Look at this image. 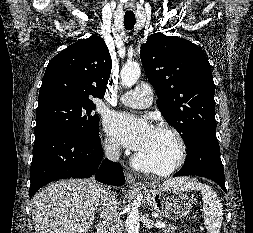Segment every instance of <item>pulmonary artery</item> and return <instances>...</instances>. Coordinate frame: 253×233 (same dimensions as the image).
<instances>
[{"label": "pulmonary artery", "instance_id": "pulmonary-artery-1", "mask_svg": "<svg viewBox=\"0 0 253 233\" xmlns=\"http://www.w3.org/2000/svg\"><path fill=\"white\" fill-rule=\"evenodd\" d=\"M119 101L132 108H147L152 104L153 92L147 84H140L135 89L120 95Z\"/></svg>", "mask_w": 253, "mask_h": 233}]
</instances>
